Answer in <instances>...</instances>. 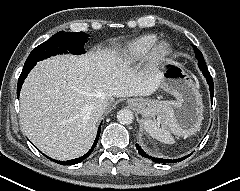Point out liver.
I'll list each match as a JSON object with an SVG mask.
<instances>
[{"label": "liver", "mask_w": 240, "mask_h": 191, "mask_svg": "<svg viewBox=\"0 0 240 191\" xmlns=\"http://www.w3.org/2000/svg\"><path fill=\"white\" fill-rule=\"evenodd\" d=\"M161 78V73L137 72L115 50L48 58L36 64L22 86L21 128L49 157L75 159L93 143L103 115L94 108L97 100L149 96Z\"/></svg>", "instance_id": "obj_1"}]
</instances>
